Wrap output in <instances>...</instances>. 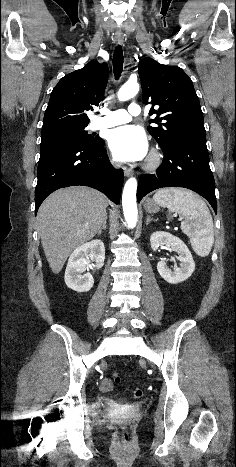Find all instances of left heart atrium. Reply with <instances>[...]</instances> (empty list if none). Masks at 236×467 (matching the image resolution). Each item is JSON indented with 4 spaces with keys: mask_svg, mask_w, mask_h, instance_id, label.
I'll return each instance as SVG.
<instances>
[{
    "mask_svg": "<svg viewBox=\"0 0 236 467\" xmlns=\"http://www.w3.org/2000/svg\"><path fill=\"white\" fill-rule=\"evenodd\" d=\"M108 144L119 161H138L146 157L148 143L142 129L124 125L110 131Z\"/></svg>",
    "mask_w": 236,
    "mask_h": 467,
    "instance_id": "1",
    "label": "left heart atrium"
}]
</instances>
